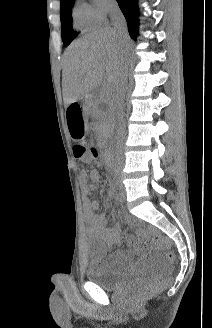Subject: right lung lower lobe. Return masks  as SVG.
<instances>
[{"mask_svg": "<svg viewBox=\"0 0 212 328\" xmlns=\"http://www.w3.org/2000/svg\"><path fill=\"white\" fill-rule=\"evenodd\" d=\"M119 7L125 16L128 31L131 36L135 40L138 34V8H137V0H117Z\"/></svg>", "mask_w": 212, "mask_h": 328, "instance_id": "obj_1", "label": "right lung lower lobe"}]
</instances>
